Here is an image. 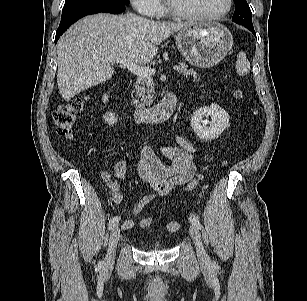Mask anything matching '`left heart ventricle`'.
Masks as SVG:
<instances>
[{
    "mask_svg": "<svg viewBox=\"0 0 307 301\" xmlns=\"http://www.w3.org/2000/svg\"><path fill=\"white\" fill-rule=\"evenodd\" d=\"M180 9L194 14H215L223 11L227 0H168Z\"/></svg>",
    "mask_w": 307,
    "mask_h": 301,
    "instance_id": "left-heart-ventricle-1",
    "label": "left heart ventricle"
}]
</instances>
